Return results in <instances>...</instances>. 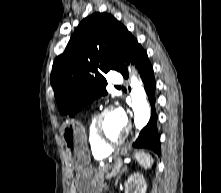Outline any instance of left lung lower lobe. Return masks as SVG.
Wrapping results in <instances>:
<instances>
[{
	"label": "left lung lower lobe",
	"instance_id": "1",
	"mask_svg": "<svg viewBox=\"0 0 221 193\" xmlns=\"http://www.w3.org/2000/svg\"><path fill=\"white\" fill-rule=\"evenodd\" d=\"M128 62L135 64L144 82V88L152 106V115L148 124L141 130L138 138L133 142L132 147L137 149H150L160 155V136L157 130V115L154 109L155 103V79L153 67L151 66L146 51L137 42L133 47ZM124 78H128L127 68L120 72Z\"/></svg>",
	"mask_w": 221,
	"mask_h": 193
}]
</instances>
